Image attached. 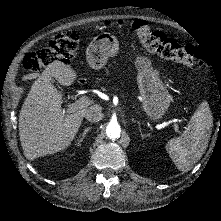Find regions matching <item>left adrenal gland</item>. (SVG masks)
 Listing matches in <instances>:
<instances>
[{
	"label": "left adrenal gland",
	"instance_id": "a2214340",
	"mask_svg": "<svg viewBox=\"0 0 221 221\" xmlns=\"http://www.w3.org/2000/svg\"><path fill=\"white\" fill-rule=\"evenodd\" d=\"M130 121H131L132 123H135V122H136V123L138 124V127H139L138 131L140 132V134H141L142 137H143L144 135H148V134H149V132H142V128H141L140 123H139L137 120H135L134 117H132Z\"/></svg>",
	"mask_w": 221,
	"mask_h": 221
}]
</instances>
